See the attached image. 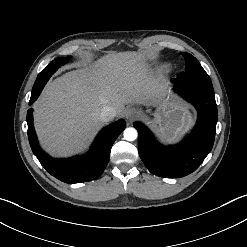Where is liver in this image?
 Here are the masks:
<instances>
[{"instance_id": "liver-1", "label": "liver", "mask_w": 247, "mask_h": 247, "mask_svg": "<svg viewBox=\"0 0 247 247\" xmlns=\"http://www.w3.org/2000/svg\"><path fill=\"white\" fill-rule=\"evenodd\" d=\"M143 52L107 54L89 66L49 83L34 103V125L42 147L53 156L82 151L100 129L105 106L122 116L129 103L150 105L167 87L156 78Z\"/></svg>"}]
</instances>
